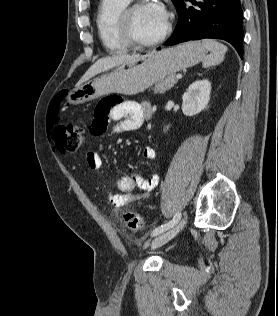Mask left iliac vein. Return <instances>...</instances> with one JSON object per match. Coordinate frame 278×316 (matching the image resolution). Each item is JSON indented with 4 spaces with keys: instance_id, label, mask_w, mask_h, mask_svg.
<instances>
[{
    "instance_id": "4c4485c4",
    "label": "left iliac vein",
    "mask_w": 278,
    "mask_h": 316,
    "mask_svg": "<svg viewBox=\"0 0 278 316\" xmlns=\"http://www.w3.org/2000/svg\"><path fill=\"white\" fill-rule=\"evenodd\" d=\"M185 223L186 219L183 218L166 232L157 236L151 243V249H156L174 238L183 229Z\"/></svg>"
}]
</instances>
